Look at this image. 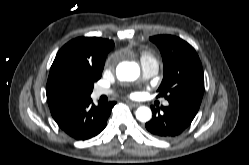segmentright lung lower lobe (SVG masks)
<instances>
[{
  "instance_id": "1",
  "label": "right lung lower lobe",
  "mask_w": 249,
  "mask_h": 165,
  "mask_svg": "<svg viewBox=\"0 0 249 165\" xmlns=\"http://www.w3.org/2000/svg\"><path fill=\"white\" fill-rule=\"evenodd\" d=\"M116 102L95 106L89 97L62 101L50 105L51 114L59 127L76 140H86L98 135Z\"/></svg>"
}]
</instances>
